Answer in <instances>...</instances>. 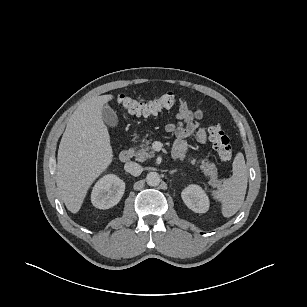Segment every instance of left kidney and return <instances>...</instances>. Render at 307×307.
I'll use <instances>...</instances> for the list:
<instances>
[{"instance_id":"5707ae66","label":"left kidney","mask_w":307,"mask_h":307,"mask_svg":"<svg viewBox=\"0 0 307 307\" xmlns=\"http://www.w3.org/2000/svg\"><path fill=\"white\" fill-rule=\"evenodd\" d=\"M181 197L186 206L196 213H205L209 209V198L198 185L191 184L186 187L182 191Z\"/></svg>"}]
</instances>
